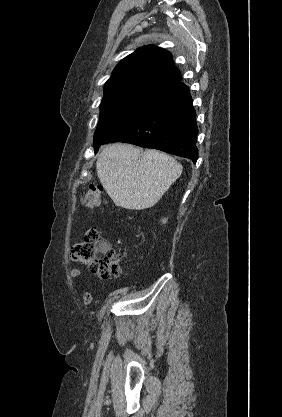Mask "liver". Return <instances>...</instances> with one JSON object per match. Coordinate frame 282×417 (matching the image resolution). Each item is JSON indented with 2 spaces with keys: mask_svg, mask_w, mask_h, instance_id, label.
I'll list each match as a JSON object with an SVG mask.
<instances>
[{
  "mask_svg": "<svg viewBox=\"0 0 282 417\" xmlns=\"http://www.w3.org/2000/svg\"><path fill=\"white\" fill-rule=\"evenodd\" d=\"M98 178L110 198L122 209H149L172 182L182 164L166 152L147 148L141 154L133 144H108L96 162Z\"/></svg>",
  "mask_w": 282,
  "mask_h": 417,
  "instance_id": "1",
  "label": "liver"
}]
</instances>
